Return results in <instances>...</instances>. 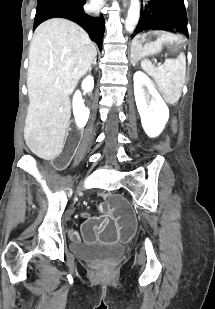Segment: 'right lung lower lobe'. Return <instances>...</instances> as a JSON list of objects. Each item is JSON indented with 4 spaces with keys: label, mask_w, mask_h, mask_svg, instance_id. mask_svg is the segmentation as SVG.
<instances>
[{
    "label": "right lung lower lobe",
    "mask_w": 215,
    "mask_h": 309,
    "mask_svg": "<svg viewBox=\"0 0 215 309\" xmlns=\"http://www.w3.org/2000/svg\"><path fill=\"white\" fill-rule=\"evenodd\" d=\"M83 5L84 3L76 5L62 2L45 3L37 7L33 30L45 20L51 18L69 19L84 28L101 50L105 29L104 19L102 16L100 18H93L87 15L83 11Z\"/></svg>",
    "instance_id": "98d812e1"
}]
</instances>
